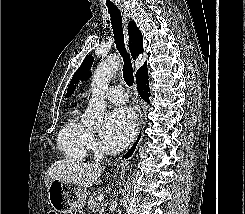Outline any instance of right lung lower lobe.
I'll use <instances>...</instances> for the list:
<instances>
[{"label":"right lung lower lobe","mask_w":245,"mask_h":214,"mask_svg":"<svg viewBox=\"0 0 245 214\" xmlns=\"http://www.w3.org/2000/svg\"><path fill=\"white\" fill-rule=\"evenodd\" d=\"M136 80H137V88H138L139 95L146 102H149L150 93H149L148 74L145 73Z\"/></svg>","instance_id":"98d812e1"}]
</instances>
